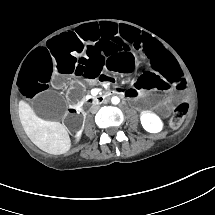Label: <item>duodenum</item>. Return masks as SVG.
I'll list each match as a JSON object with an SVG mask.
<instances>
[{"label":"duodenum","mask_w":215,"mask_h":215,"mask_svg":"<svg viewBox=\"0 0 215 215\" xmlns=\"http://www.w3.org/2000/svg\"><path fill=\"white\" fill-rule=\"evenodd\" d=\"M113 95H117V92L115 90L109 91V92H106L103 94H99V95L94 96V97H90L87 99L86 102H87V104H93V105L101 104L107 98H109L110 96H113ZM70 111L74 114H80L81 108L79 106H75V107L71 108Z\"/></svg>","instance_id":"410a0bca"}]
</instances>
